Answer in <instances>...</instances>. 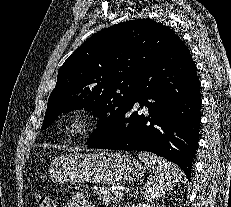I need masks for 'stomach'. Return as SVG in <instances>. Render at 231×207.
I'll use <instances>...</instances> for the list:
<instances>
[{
	"mask_svg": "<svg viewBox=\"0 0 231 207\" xmlns=\"http://www.w3.org/2000/svg\"><path fill=\"white\" fill-rule=\"evenodd\" d=\"M52 180L60 183L122 184L144 173L143 165L120 152L69 153L55 158L49 167Z\"/></svg>",
	"mask_w": 231,
	"mask_h": 207,
	"instance_id": "0dacf381",
	"label": "stomach"
}]
</instances>
